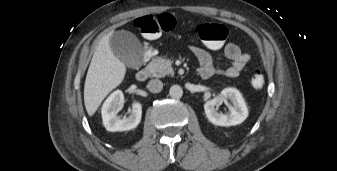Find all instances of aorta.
<instances>
[{
	"instance_id": "762f6f07",
	"label": "aorta",
	"mask_w": 337,
	"mask_h": 171,
	"mask_svg": "<svg viewBox=\"0 0 337 171\" xmlns=\"http://www.w3.org/2000/svg\"><path fill=\"white\" fill-rule=\"evenodd\" d=\"M169 95L174 99H179L183 95L182 87L179 85H173L171 86L169 90Z\"/></svg>"
}]
</instances>
